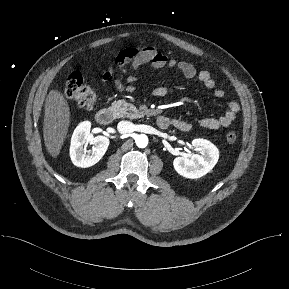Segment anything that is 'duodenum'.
Returning a JSON list of instances; mask_svg holds the SVG:
<instances>
[{
    "mask_svg": "<svg viewBox=\"0 0 289 289\" xmlns=\"http://www.w3.org/2000/svg\"><path fill=\"white\" fill-rule=\"evenodd\" d=\"M96 121L101 125H108L113 120V112L110 108H101L95 115ZM159 128L167 129L171 125V120L167 116L159 115L156 118Z\"/></svg>",
    "mask_w": 289,
    "mask_h": 289,
    "instance_id": "410a0bca",
    "label": "duodenum"
}]
</instances>
